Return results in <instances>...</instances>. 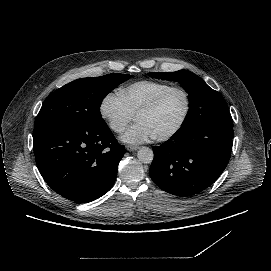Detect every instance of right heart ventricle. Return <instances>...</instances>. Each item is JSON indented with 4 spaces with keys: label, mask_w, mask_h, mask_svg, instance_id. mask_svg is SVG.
<instances>
[{
    "label": "right heart ventricle",
    "mask_w": 271,
    "mask_h": 271,
    "mask_svg": "<svg viewBox=\"0 0 271 271\" xmlns=\"http://www.w3.org/2000/svg\"><path fill=\"white\" fill-rule=\"evenodd\" d=\"M166 81L139 80L121 88V99L132 115L150 103L156 95L171 86Z\"/></svg>",
    "instance_id": "1"
}]
</instances>
